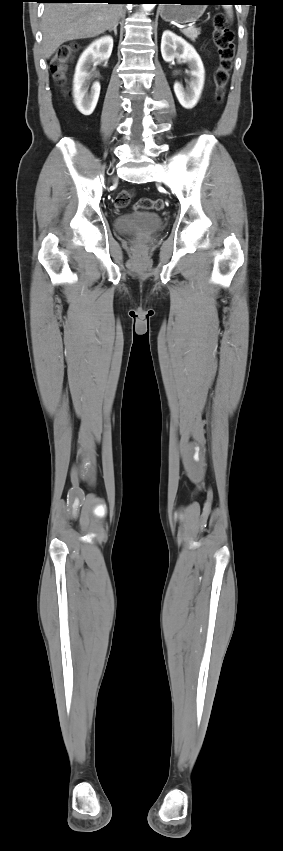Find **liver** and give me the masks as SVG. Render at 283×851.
Listing matches in <instances>:
<instances>
[{
  "label": "liver",
  "mask_w": 283,
  "mask_h": 851,
  "mask_svg": "<svg viewBox=\"0 0 283 851\" xmlns=\"http://www.w3.org/2000/svg\"><path fill=\"white\" fill-rule=\"evenodd\" d=\"M123 14L114 3H48L42 17L43 53L49 59L63 43L96 37L113 28Z\"/></svg>",
  "instance_id": "liver-1"
}]
</instances>
